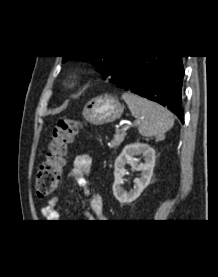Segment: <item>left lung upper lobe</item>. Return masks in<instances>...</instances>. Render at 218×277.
Returning <instances> with one entry per match:
<instances>
[{
  "label": "left lung upper lobe",
  "instance_id": "obj_1",
  "mask_svg": "<svg viewBox=\"0 0 218 277\" xmlns=\"http://www.w3.org/2000/svg\"><path fill=\"white\" fill-rule=\"evenodd\" d=\"M134 55L121 56H84V57H68L64 56L63 62L71 59L88 61L94 64L101 75L105 78H111L114 74L121 71Z\"/></svg>",
  "mask_w": 218,
  "mask_h": 277
}]
</instances>
